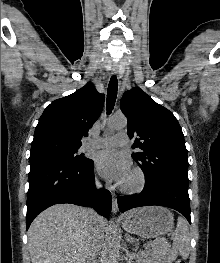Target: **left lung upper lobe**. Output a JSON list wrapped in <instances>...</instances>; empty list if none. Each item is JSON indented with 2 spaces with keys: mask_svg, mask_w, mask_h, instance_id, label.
Wrapping results in <instances>:
<instances>
[{
  "mask_svg": "<svg viewBox=\"0 0 220 263\" xmlns=\"http://www.w3.org/2000/svg\"><path fill=\"white\" fill-rule=\"evenodd\" d=\"M121 110L127 117V133L133 153L148 182L171 178L188 185V157L182 129L168 109L156 103L140 88L124 93Z\"/></svg>",
  "mask_w": 220,
  "mask_h": 263,
  "instance_id": "obj_1",
  "label": "left lung upper lobe"
}]
</instances>
